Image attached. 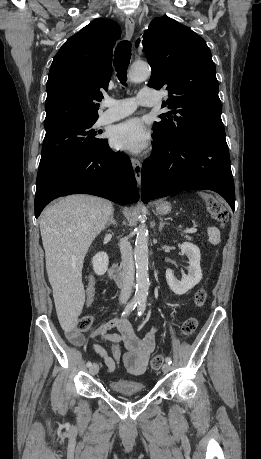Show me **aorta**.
Here are the masks:
<instances>
[{"mask_svg":"<svg viewBox=\"0 0 261 459\" xmlns=\"http://www.w3.org/2000/svg\"><path fill=\"white\" fill-rule=\"evenodd\" d=\"M150 75L151 68L147 63H137L132 65L128 78L133 83H140L147 80ZM134 258L136 265V291L134 297L138 301H145L150 285L148 275V229L146 224H141L137 228Z\"/></svg>","mask_w":261,"mask_h":459,"instance_id":"aorta-1","label":"aorta"}]
</instances>
